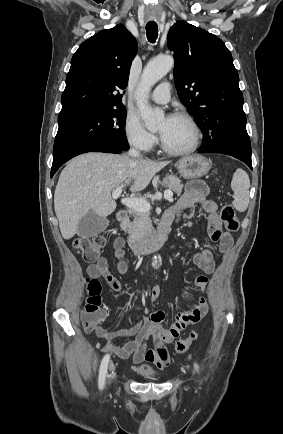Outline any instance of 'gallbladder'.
Listing matches in <instances>:
<instances>
[{
	"mask_svg": "<svg viewBox=\"0 0 283 434\" xmlns=\"http://www.w3.org/2000/svg\"><path fill=\"white\" fill-rule=\"evenodd\" d=\"M108 223L109 221L106 217H100L90 211L80 220L77 234L83 238L96 236L106 230Z\"/></svg>",
	"mask_w": 283,
	"mask_h": 434,
	"instance_id": "gallbladder-1",
	"label": "gallbladder"
}]
</instances>
